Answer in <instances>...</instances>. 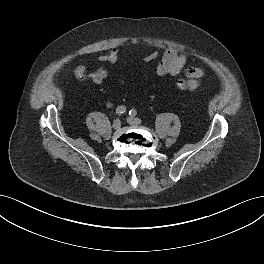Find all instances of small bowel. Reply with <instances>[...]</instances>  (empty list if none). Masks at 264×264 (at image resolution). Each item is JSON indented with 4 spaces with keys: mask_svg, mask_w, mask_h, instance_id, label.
Instances as JSON below:
<instances>
[{
    "mask_svg": "<svg viewBox=\"0 0 264 264\" xmlns=\"http://www.w3.org/2000/svg\"><path fill=\"white\" fill-rule=\"evenodd\" d=\"M188 59L187 53L175 48H167L155 68V73L159 77L177 76L187 64ZM186 75L197 87L199 79L203 75V70L198 66L188 67ZM75 76L79 81L89 80L95 84H101L107 79L108 71L103 66H99L95 71L88 73L84 65H79L75 69Z\"/></svg>",
    "mask_w": 264,
    "mask_h": 264,
    "instance_id": "1",
    "label": "small bowel"
}]
</instances>
